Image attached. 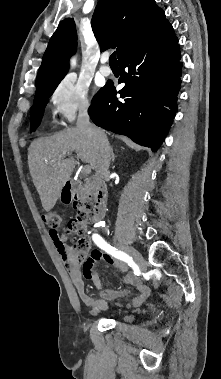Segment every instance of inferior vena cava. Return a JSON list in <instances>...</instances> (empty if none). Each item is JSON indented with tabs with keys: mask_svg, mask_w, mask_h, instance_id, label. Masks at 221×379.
<instances>
[{
	"mask_svg": "<svg viewBox=\"0 0 221 379\" xmlns=\"http://www.w3.org/2000/svg\"><path fill=\"white\" fill-rule=\"evenodd\" d=\"M77 128L85 130L98 142L96 175L101 179L108 174L111 160V150L107 137L102 130L96 128L90 123L87 107L82 108L79 112L77 119Z\"/></svg>",
	"mask_w": 221,
	"mask_h": 379,
	"instance_id": "1",
	"label": "inferior vena cava"
}]
</instances>
